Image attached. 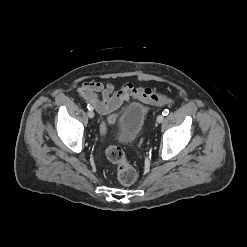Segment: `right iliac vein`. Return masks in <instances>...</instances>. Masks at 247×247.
<instances>
[{
  "label": "right iliac vein",
  "instance_id": "1",
  "mask_svg": "<svg viewBox=\"0 0 247 247\" xmlns=\"http://www.w3.org/2000/svg\"><path fill=\"white\" fill-rule=\"evenodd\" d=\"M89 118H93L94 117V112L92 110L88 111L87 113Z\"/></svg>",
  "mask_w": 247,
  "mask_h": 247
}]
</instances>
